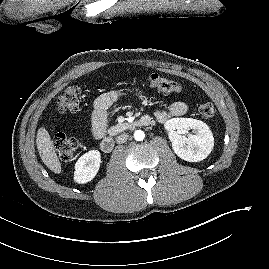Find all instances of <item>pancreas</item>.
Returning <instances> with one entry per match:
<instances>
[{"instance_id":"1","label":"pancreas","mask_w":269,"mask_h":269,"mask_svg":"<svg viewBox=\"0 0 269 269\" xmlns=\"http://www.w3.org/2000/svg\"><path fill=\"white\" fill-rule=\"evenodd\" d=\"M129 127H130V124L128 123H119L115 126L110 127V129L108 130V133L110 135H116L117 133L122 132L123 130Z\"/></svg>"}]
</instances>
